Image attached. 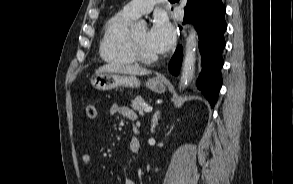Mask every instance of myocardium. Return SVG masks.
Segmentation results:
<instances>
[{"label": "myocardium", "instance_id": "1", "mask_svg": "<svg viewBox=\"0 0 293 184\" xmlns=\"http://www.w3.org/2000/svg\"><path fill=\"white\" fill-rule=\"evenodd\" d=\"M130 47H131V52L133 54L134 59L138 62H141L144 64H151V63L156 62L159 59V57L157 55H155V56L145 55L141 51L138 43L136 42V40L133 36V33H130Z\"/></svg>", "mask_w": 293, "mask_h": 184}]
</instances>
